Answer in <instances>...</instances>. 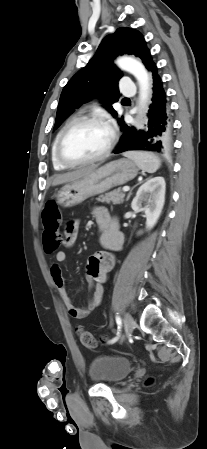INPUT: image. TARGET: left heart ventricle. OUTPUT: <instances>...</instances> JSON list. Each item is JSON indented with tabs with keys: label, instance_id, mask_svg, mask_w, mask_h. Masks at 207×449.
Here are the masks:
<instances>
[{
	"label": "left heart ventricle",
	"instance_id": "1",
	"mask_svg": "<svg viewBox=\"0 0 207 449\" xmlns=\"http://www.w3.org/2000/svg\"><path fill=\"white\" fill-rule=\"evenodd\" d=\"M110 139L102 125L81 124L71 129L62 144L63 155L72 161L85 160L102 153Z\"/></svg>",
	"mask_w": 207,
	"mask_h": 449
}]
</instances>
